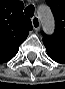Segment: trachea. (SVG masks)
<instances>
[{
    "mask_svg": "<svg viewBox=\"0 0 65 89\" xmlns=\"http://www.w3.org/2000/svg\"><path fill=\"white\" fill-rule=\"evenodd\" d=\"M34 11H35L34 6L33 5H29V6H27L25 8L24 13L28 17H33Z\"/></svg>",
    "mask_w": 65,
    "mask_h": 89,
    "instance_id": "1",
    "label": "trachea"
}]
</instances>
